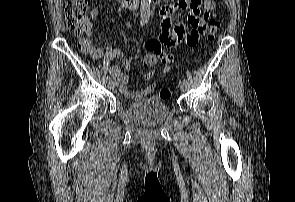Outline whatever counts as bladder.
<instances>
[{
	"mask_svg": "<svg viewBox=\"0 0 295 202\" xmlns=\"http://www.w3.org/2000/svg\"><path fill=\"white\" fill-rule=\"evenodd\" d=\"M125 112L132 121L144 125H156L167 119L170 108L164 98L151 96L129 104Z\"/></svg>",
	"mask_w": 295,
	"mask_h": 202,
	"instance_id": "31cf9c89",
	"label": "bladder"
}]
</instances>
